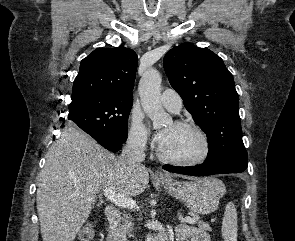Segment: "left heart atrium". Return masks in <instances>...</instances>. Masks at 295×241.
Returning <instances> with one entry per match:
<instances>
[{
	"instance_id": "1",
	"label": "left heart atrium",
	"mask_w": 295,
	"mask_h": 241,
	"mask_svg": "<svg viewBox=\"0 0 295 241\" xmlns=\"http://www.w3.org/2000/svg\"><path fill=\"white\" fill-rule=\"evenodd\" d=\"M166 138H167V133L164 131L158 133L157 135V139L160 142V144H162L166 140Z\"/></svg>"
}]
</instances>
